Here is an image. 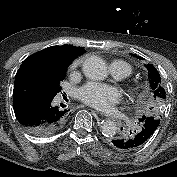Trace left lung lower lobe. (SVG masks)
<instances>
[{
    "instance_id": "left-lung-lower-lobe-1",
    "label": "left lung lower lobe",
    "mask_w": 177,
    "mask_h": 177,
    "mask_svg": "<svg viewBox=\"0 0 177 177\" xmlns=\"http://www.w3.org/2000/svg\"><path fill=\"white\" fill-rule=\"evenodd\" d=\"M160 119L152 116H143L140 119V127L135 133L130 135L116 137L112 140L115 147L123 150H130L141 146L157 129ZM132 134V135H131Z\"/></svg>"
}]
</instances>
